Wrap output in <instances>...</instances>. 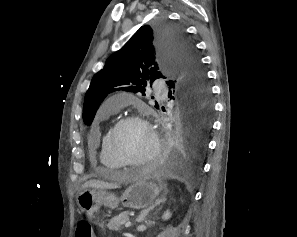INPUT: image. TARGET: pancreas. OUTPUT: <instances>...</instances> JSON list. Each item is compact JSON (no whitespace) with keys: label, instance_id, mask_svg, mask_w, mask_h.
<instances>
[{"label":"pancreas","instance_id":"obj_1","mask_svg":"<svg viewBox=\"0 0 297 237\" xmlns=\"http://www.w3.org/2000/svg\"><path fill=\"white\" fill-rule=\"evenodd\" d=\"M129 219V212L125 211L118 216L113 217L107 224L109 230H119Z\"/></svg>","mask_w":297,"mask_h":237}]
</instances>
